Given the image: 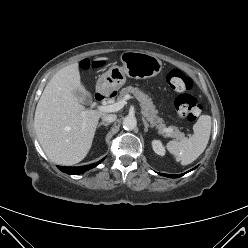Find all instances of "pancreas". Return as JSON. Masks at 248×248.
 <instances>
[{"mask_svg": "<svg viewBox=\"0 0 248 248\" xmlns=\"http://www.w3.org/2000/svg\"><path fill=\"white\" fill-rule=\"evenodd\" d=\"M129 93H132L135 98L140 102L142 114L150 122L152 127H156L161 134H164L171 138L181 139L184 137L183 132H181L177 127H166V125L163 123V119L157 116V110H155V105L152 99L138 88L132 86L123 88L120 91L118 100H123L124 97Z\"/></svg>", "mask_w": 248, "mask_h": 248, "instance_id": "cf45deb5", "label": "pancreas"}]
</instances>
